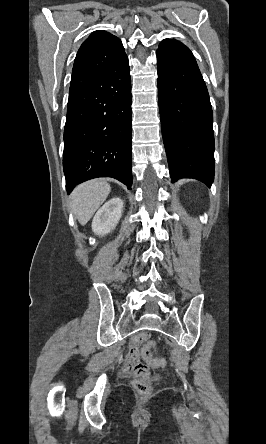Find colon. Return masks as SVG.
I'll use <instances>...</instances> for the list:
<instances>
[{"label": "colon", "instance_id": "1", "mask_svg": "<svg viewBox=\"0 0 266 444\" xmlns=\"http://www.w3.org/2000/svg\"><path fill=\"white\" fill-rule=\"evenodd\" d=\"M141 354L144 360L152 366L159 367L165 363L163 359L156 356V344L152 340L146 341L143 344ZM133 386L140 394H149L152 390L151 382L144 378L135 379Z\"/></svg>", "mask_w": 266, "mask_h": 444}]
</instances>
